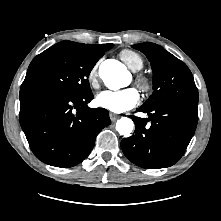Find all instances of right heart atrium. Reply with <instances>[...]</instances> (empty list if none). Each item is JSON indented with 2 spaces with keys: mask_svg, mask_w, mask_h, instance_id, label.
I'll return each mask as SVG.
<instances>
[{
  "mask_svg": "<svg viewBox=\"0 0 221 221\" xmlns=\"http://www.w3.org/2000/svg\"><path fill=\"white\" fill-rule=\"evenodd\" d=\"M98 66H99V63H95L91 69L89 70L88 74H87V80L90 84V86L92 88H97L98 86V81H97V78H98Z\"/></svg>",
  "mask_w": 221,
  "mask_h": 221,
  "instance_id": "obj_1",
  "label": "right heart atrium"
}]
</instances>
